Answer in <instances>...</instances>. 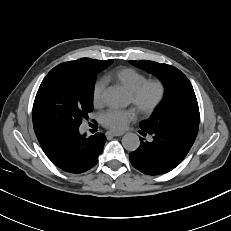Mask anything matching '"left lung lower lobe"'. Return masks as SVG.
Returning a JSON list of instances; mask_svg holds the SVG:
<instances>
[{
	"label": "left lung lower lobe",
	"instance_id": "obj_1",
	"mask_svg": "<svg viewBox=\"0 0 231 231\" xmlns=\"http://www.w3.org/2000/svg\"><path fill=\"white\" fill-rule=\"evenodd\" d=\"M140 133L151 136L152 140L140 138V147L129 154V159L137 170L146 175L164 174L174 169L185 158L196 138L144 129Z\"/></svg>",
	"mask_w": 231,
	"mask_h": 231
}]
</instances>
